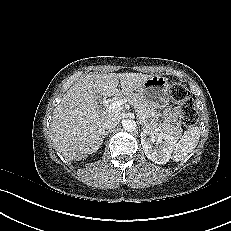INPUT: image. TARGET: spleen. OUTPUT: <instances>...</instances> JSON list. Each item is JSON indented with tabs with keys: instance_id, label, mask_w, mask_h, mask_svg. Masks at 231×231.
<instances>
[{
	"instance_id": "3e777b00",
	"label": "spleen",
	"mask_w": 231,
	"mask_h": 231,
	"mask_svg": "<svg viewBox=\"0 0 231 231\" xmlns=\"http://www.w3.org/2000/svg\"><path fill=\"white\" fill-rule=\"evenodd\" d=\"M199 138L200 129L197 126L187 129L180 140L175 144L172 159L178 162L187 157L198 145Z\"/></svg>"
}]
</instances>
